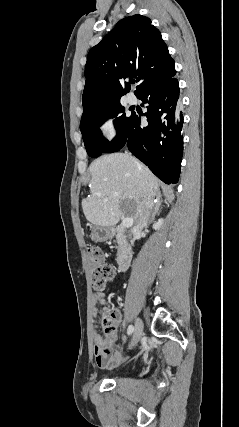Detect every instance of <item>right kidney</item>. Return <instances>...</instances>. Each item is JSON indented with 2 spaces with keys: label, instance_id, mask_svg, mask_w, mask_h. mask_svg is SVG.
Segmentation results:
<instances>
[{
  "label": "right kidney",
  "instance_id": "1",
  "mask_svg": "<svg viewBox=\"0 0 239 427\" xmlns=\"http://www.w3.org/2000/svg\"><path fill=\"white\" fill-rule=\"evenodd\" d=\"M163 219H159L158 222L153 224V229L158 230L162 226Z\"/></svg>",
  "mask_w": 239,
  "mask_h": 427
}]
</instances>
